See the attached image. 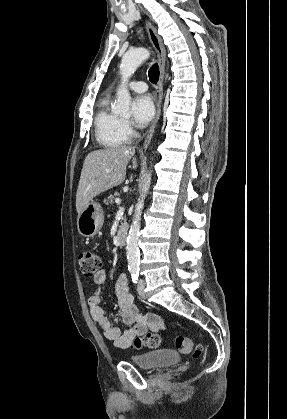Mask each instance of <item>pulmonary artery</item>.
Here are the masks:
<instances>
[{
  "instance_id": "pulmonary-artery-1",
  "label": "pulmonary artery",
  "mask_w": 287,
  "mask_h": 419,
  "mask_svg": "<svg viewBox=\"0 0 287 419\" xmlns=\"http://www.w3.org/2000/svg\"><path fill=\"white\" fill-rule=\"evenodd\" d=\"M128 88L136 92H144L147 90V84L142 81H134L129 83Z\"/></svg>"
}]
</instances>
